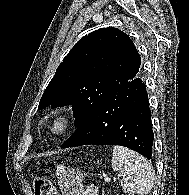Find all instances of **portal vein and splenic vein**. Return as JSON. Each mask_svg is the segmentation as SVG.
<instances>
[{"instance_id":"18ae733b","label":"portal vein and splenic vein","mask_w":189,"mask_h":195,"mask_svg":"<svg viewBox=\"0 0 189 195\" xmlns=\"http://www.w3.org/2000/svg\"><path fill=\"white\" fill-rule=\"evenodd\" d=\"M104 181L105 182H109V181H111V179L109 177H107V176H104Z\"/></svg>"}]
</instances>
